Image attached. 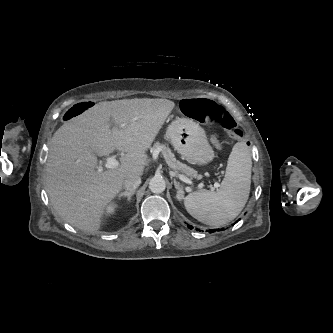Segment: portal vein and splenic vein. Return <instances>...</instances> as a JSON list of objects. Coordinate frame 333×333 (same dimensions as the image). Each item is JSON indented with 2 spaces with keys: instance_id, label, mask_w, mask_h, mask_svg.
<instances>
[{
  "instance_id": "obj_1",
  "label": "portal vein and splenic vein",
  "mask_w": 333,
  "mask_h": 333,
  "mask_svg": "<svg viewBox=\"0 0 333 333\" xmlns=\"http://www.w3.org/2000/svg\"><path fill=\"white\" fill-rule=\"evenodd\" d=\"M118 165H119V162L115 159L114 156L108 157V158H107V161H106V163H105V167H106L107 169H113V168H116V167H118ZM178 177H179L180 180H182L183 182H185V183H187V184H191V183H192V181H191L189 178L185 177V176L182 175V174H178ZM218 187H219V184H218V183H215V184H214V188H218Z\"/></svg>"
}]
</instances>
